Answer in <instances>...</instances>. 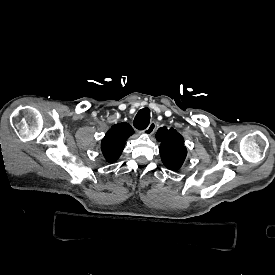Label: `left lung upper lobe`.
Segmentation results:
<instances>
[{
	"mask_svg": "<svg viewBox=\"0 0 275 275\" xmlns=\"http://www.w3.org/2000/svg\"><path fill=\"white\" fill-rule=\"evenodd\" d=\"M156 138L160 142L159 151L163 164L169 170H179L187 155L183 136L173 128L161 127Z\"/></svg>",
	"mask_w": 275,
	"mask_h": 275,
	"instance_id": "5c2ea615",
	"label": "left lung upper lobe"
}]
</instances>
